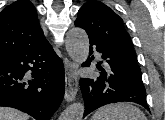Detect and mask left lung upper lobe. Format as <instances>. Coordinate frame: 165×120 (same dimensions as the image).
Returning <instances> with one entry per match:
<instances>
[{"label":"left lung upper lobe","mask_w":165,"mask_h":120,"mask_svg":"<svg viewBox=\"0 0 165 120\" xmlns=\"http://www.w3.org/2000/svg\"><path fill=\"white\" fill-rule=\"evenodd\" d=\"M75 26L83 28L89 38L111 49L125 64L141 72L130 35L126 32L121 17L110 7L100 1H87L78 11Z\"/></svg>","instance_id":"left-lung-upper-lobe-1"}]
</instances>
